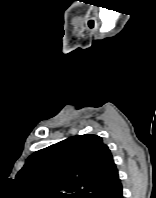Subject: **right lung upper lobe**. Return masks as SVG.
<instances>
[{"label":"right lung upper lobe","instance_id":"1","mask_svg":"<svg viewBox=\"0 0 156 198\" xmlns=\"http://www.w3.org/2000/svg\"><path fill=\"white\" fill-rule=\"evenodd\" d=\"M16 179L41 198H108L121 187L110 150L92 134L36 151Z\"/></svg>","mask_w":156,"mask_h":198}]
</instances>
